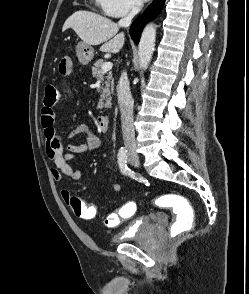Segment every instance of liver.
Returning <instances> with one entry per match:
<instances>
[{
  "label": "liver",
  "mask_w": 249,
  "mask_h": 294,
  "mask_svg": "<svg viewBox=\"0 0 249 294\" xmlns=\"http://www.w3.org/2000/svg\"><path fill=\"white\" fill-rule=\"evenodd\" d=\"M72 28L83 43L100 45L103 52L118 53L125 41L119 26L110 19L91 11H76L64 23L62 31Z\"/></svg>",
  "instance_id": "liver-1"
}]
</instances>
